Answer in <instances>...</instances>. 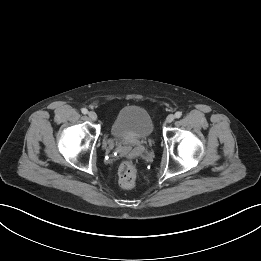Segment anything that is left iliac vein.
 I'll list each match as a JSON object with an SVG mask.
<instances>
[{
  "label": "left iliac vein",
  "instance_id": "left-iliac-vein-1",
  "mask_svg": "<svg viewBox=\"0 0 261 261\" xmlns=\"http://www.w3.org/2000/svg\"><path fill=\"white\" fill-rule=\"evenodd\" d=\"M174 119H175V116L173 114H170V115L167 116L166 122L171 123V122L174 121Z\"/></svg>",
  "mask_w": 261,
  "mask_h": 261
}]
</instances>
